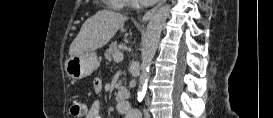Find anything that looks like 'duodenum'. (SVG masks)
<instances>
[{"mask_svg": "<svg viewBox=\"0 0 273 118\" xmlns=\"http://www.w3.org/2000/svg\"><path fill=\"white\" fill-rule=\"evenodd\" d=\"M130 98V93L127 89L125 88H119L116 91V99L118 101H125Z\"/></svg>", "mask_w": 273, "mask_h": 118, "instance_id": "obj_1", "label": "duodenum"}]
</instances>
